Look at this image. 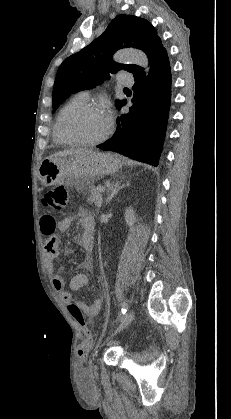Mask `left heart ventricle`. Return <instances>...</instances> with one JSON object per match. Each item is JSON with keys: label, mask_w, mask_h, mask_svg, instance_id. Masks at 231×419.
<instances>
[{"label": "left heart ventricle", "mask_w": 231, "mask_h": 419, "mask_svg": "<svg viewBox=\"0 0 231 419\" xmlns=\"http://www.w3.org/2000/svg\"><path fill=\"white\" fill-rule=\"evenodd\" d=\"M108 118L102 110H84L72 115L66 122L68 132L82 139H95L108 127Z\"/></svg>", "instance_id": "obj_1"}]
</instances>
